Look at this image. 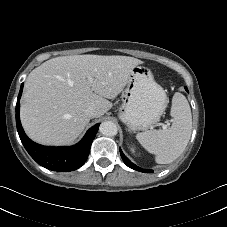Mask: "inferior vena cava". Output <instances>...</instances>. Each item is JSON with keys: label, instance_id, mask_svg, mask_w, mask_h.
I'll return each mask as SVG.
<instances>
[{"label": "inferior vena cava", "instance_id": "inferior-vena-cava-1", "mask_svg": "<svg viewBox=\"0 0 227 227\" xmlns=\"http://www.w3.org/2000/svg\"><path fill=\"white\" fill-rule=\"evenodd\" d=\"M85 114L89 117V118H95L98 116V112L94 107H88L85 110Z\"/></svg>", "mask_w": 227, "mask_h": 227}]
</instances>
